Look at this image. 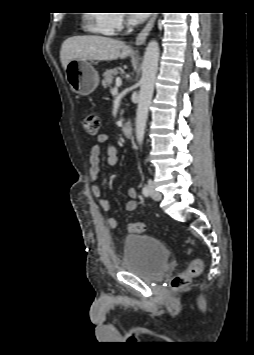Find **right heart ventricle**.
<instances>
[{"label": "right heart ventricle", "instance_id": "1", "mask_svg": "<svg viewBox=\"0 0 254 355\" xmlns=\"http://www.w3.org/2000/svg\"><path fill=\"white\" fill-rule=\"evenodd\" d=\"M100 17H101L100 13L89 14L87 16L86 26L91 32L108 35L109 33L105 31L100 25L99 22Z\"/></svg>", "mask_w": 254, "mask_h": 355}]
</instances>
